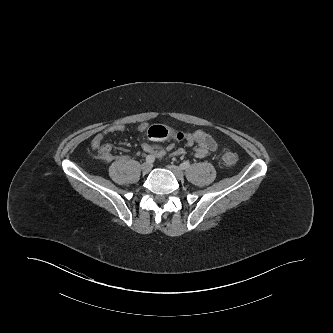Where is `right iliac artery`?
<instances>
[{
  "instance_id": "right-iliac-artery-1",
  "label": "right iliac artery",
  "mask_w": 333,
  "mask_h": 333,
  "mask_svg": "<svg viewBox=\"0 0 333 333\" xmlns=\"http://www.w3.org/2000/svg\"><path fill=\"white\" fill-rule=\"evenodd\" d=\"M155 161V157L152 155H147L146 156V162L148 163H153Z\"/></svg>"
}]
</instances>
